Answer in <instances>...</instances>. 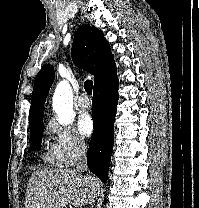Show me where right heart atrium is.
Here are the masks:
<instances>
[{"label":"right heart atrium","instance_id":"right-heart-atrium-1","mask_svg":"<svg viewBox=\"0 0 199 208\" xmlns=\"http://www.w3.org/2000/svg\"><path fill=\"white\" fill-rule=\"evenodd\" d=\"M48 129L54 138L51 153L60 165L71 166L86 153L87 146L84 139L74 134L71 128L63 127L51 120Z\"/></svg>","mask_w":199,"mask_h":208}]
</instances>
